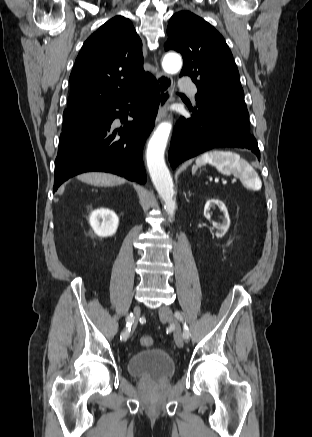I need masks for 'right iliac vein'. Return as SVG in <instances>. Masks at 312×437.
I'll return each mask as SVG.
<instances>
[{"label":"right iliac vein","instance_id":"right-iliac-vein-1","mask_svg":"<svg viewBox=\"0 0 312 437\" xmlns=\"http://www.w3.org/2000/svg\"><path fill=\"white\" fill-rule=\"evenodd\" d=\"M140 312H141L140 307L138 305H136L133 309L134 320H135V322H133L134 326H136V324H137V321H138L139 316H140Z\"/></svg>","mask_w":312,"mask_h":437}]
</instances>
